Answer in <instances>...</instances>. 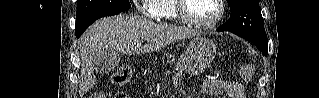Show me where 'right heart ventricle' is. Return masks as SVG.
Here are the masks:
<instances>
[{"instance_id":"1","label":"right heart ventricle","mask_w":319,"mask_h":98,"mask_svg":"<svg viewBox=\"0 0 319 98\" xmlns=\"http://www.w3.org/2000/svg\"><path fill=\"white\" fill-rule=\"evenodd\" d=\"M146 6L160 19L180 21L175 8V0H149Z\"/></svg>"}]
</instances>
